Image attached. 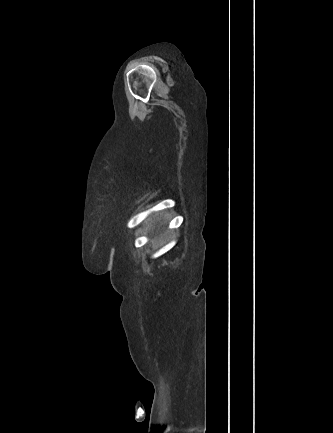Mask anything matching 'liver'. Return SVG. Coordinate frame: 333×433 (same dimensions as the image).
I'll return each mask as SVG.
<instances>
[{"instance_id":"1","label":"liver","mask_w":333,"mask_h":433,"mask_svg":"<svg viewBox=\"0 0 333 433\" xmlns=\"http://www.w3.org/2000/svg\"><path fill=\"white\" fill-rule=\"evenodd\" d=\"M157 219L156 220H160L161 218H162V215H160V216H158V217H156ZM160 228H158V230H159Z\"/></svg>"}]
</instances>
